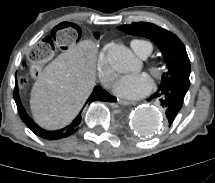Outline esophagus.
<instances>
[{
    "label": "esophagus",
    "instance_id": "34e87169",
    "mask_svg": "<svg viewBox=\"0 0 215 183\" xmlns=\"http://www.w3.org/2000/svg\"><path fill=\"white\" fill-rule=\"evenodd\" d=\"M118 103H119L120 105H124V106H128V105L133 104V102L128 101V100H124V99H118Z\"/></svg>",
    "mask_w": 215,
    "mask_h": 183
}]
</instances>
